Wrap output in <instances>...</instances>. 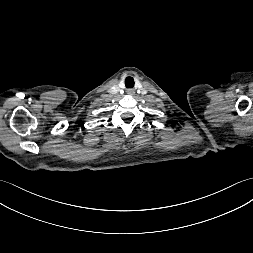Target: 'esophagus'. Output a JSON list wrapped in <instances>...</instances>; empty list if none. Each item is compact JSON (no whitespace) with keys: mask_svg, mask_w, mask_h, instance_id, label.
Listing matches in <instances>:
<instances>
[{"mask_svg":"<svg viewBox=\"0 0 253 253\" xmlns=\"http://www.w3.org/2000/svg\"><path fill=\"white\" fill-rule=\"evenodd\" d=\"M127 94H129V95H132V94H134V90L133 89H127Z\"/></svg>","mask_w":253,"mask_h":253,"instance_id":"obj_1","label":"esophagus"}]
</instances>
